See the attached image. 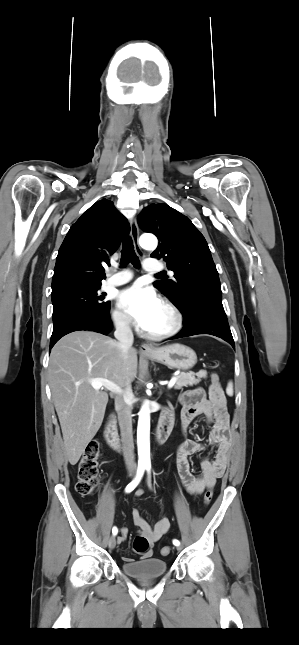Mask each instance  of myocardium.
<instances>
[{"label": "myocardium", "mask_w": 299, "mask_h": 645, "mask_svg": "<svg viewBox=\"0 0 299 645\" xmlns=\"http://www.w3.org/2000/svg\"><path fill=\"white\" fill-rule=\"evenodd\" d=\"M162 306L166 309V311L169 313L171 317V323L170 326L160 332H149L147 330H144V335L152 340H163L169 337H172L176 335L182 328L183 326V316L179 309L170 301L168 300H163L162 301Z\"/></svg>", "instance_id": "myocardium-1"}]
</instances>
